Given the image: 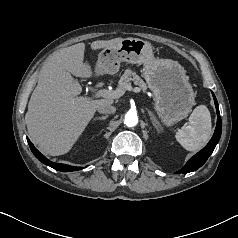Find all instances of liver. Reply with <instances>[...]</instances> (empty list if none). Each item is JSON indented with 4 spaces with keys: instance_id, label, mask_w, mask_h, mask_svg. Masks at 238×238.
Instances as JSON below:
<instances>
[{
    "instance_id": "6515ba94",
    "label": "liver",
    "mask_w": 238,
    "mask_h": 238,
    "mask_svg": "<svg viewBox=\"0 0 238 238\" xmlns=\"http://www.w3.org/2000/svg\"><path fill=\"white\" fill-rule=\"evenodd\" d=\"M122 38L99 40L91 49L112 47ZM85 44L63 48L49 58L40 71L36 88L25 115L27 130L40 149L52 156L69 152L93 118L97 107L111 105L113 99L78 97L82 91L71 74L81 78L92 77V69L84 63Z\"/></svg>"
}]
</instances>
